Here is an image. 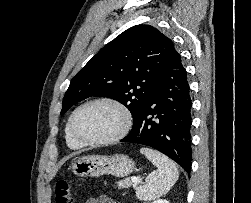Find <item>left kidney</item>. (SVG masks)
Here are the masks:
<instances>
[{"mask_svg":"<svg viewBox=\"0 0 251 203\" xmlns=\"http://www.w3.org/2000/svg\"><path fill=\"white\" fill-rule=\"evenodd\" d=\"M152 203H169V201H167L166 199H158Z\"/></svg>","mask_w":251,"mask_h":203,"instance_id":"1","label":"left kidney"}]
</instances>
